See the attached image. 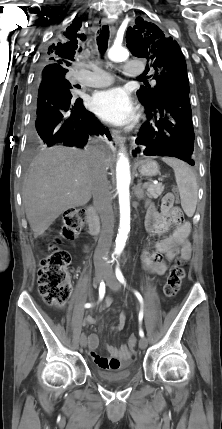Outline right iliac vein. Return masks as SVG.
<instances>
[{
	"label": "right iliac vein",
	"mask_w": 222,
	"mask_h": 429,
	"mask_svg": "<svg viewBox=\"0 0 222 429\" xmlns=\"http://www.w3.org/2000/svg\"><path fill=\"white\" fill-rule=\"evenodd\" d=\"M104 277V270L102 268H98L95 271L94 284L99 285ZM80 345L82 347L87 346V337L85 334H81L79 339Z\"/></svg>",
	"instance_id": "63e3f726"
}]
</instances>
